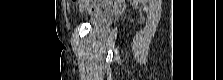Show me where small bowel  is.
Listing matches in <instances>:
<instances>
[{
    "label": "small bowel",
    "instance_id": "c3829d8e",
    "mask_svg": "<svg viewBox=\"0 0 223 80\" xmlns=\"http://www.w3.org/2000/svg\"><path fill=\"white\" fill-rule=\"evenodd\" d=\"M108 7L107 6H97L95 8L92 9V13H95V12H98V11H101V10H104V9H107Z\"/></svg>",
    "mask_w": 223,
    "mask_h": 80
}]
</instances>
